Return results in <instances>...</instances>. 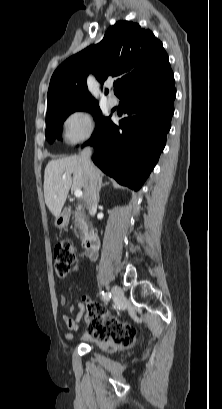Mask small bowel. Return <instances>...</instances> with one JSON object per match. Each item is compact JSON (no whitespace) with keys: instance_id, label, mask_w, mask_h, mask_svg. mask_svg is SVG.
I'll return each mask as SVG.
<instances>
[{"instance_id":"1","label":"small bowel","mask_w":222,"mask_h":409,"mask_svg":"<svg viewBox=\"0 0 222 409\" xmlns=\"http://www.w3.org/2000/svg\"><path fill=\"white\" fill-rule=\"evenodd\" d=\"M88 258L91 261H96L97 260V254L96 253H87V252H80L73 264V266L71 267V269L68 272V276L74 274L75 272H77L82 264V261L84 258ZM60 304L62 306H66L68 304V298L65 295H62L60 297ZM78 308V313L75 317H72L69 313H65L63 315V322L65 324V327L67 329V331H65L64 333V337L66 340H73L74 336H73V332L77 331L79 328V322L81 320V318L83 317V315L85 314L86 311V306L83 303H80L77 305ZM90 336L86 335L84 337V339H89ZM99 340V339H98ZM133 342V341H132ZM132 342L126 344V345H122V344H118L116 343L114 340L112 339H103L99 341V346L102 348V350L107 351V352H111V351H116V350H120L123 349L126 346H130L132 344Z\"/></svg>"}]
</instances>
